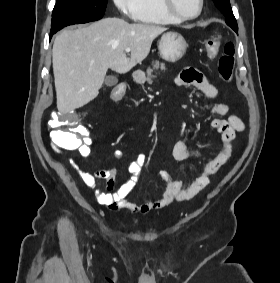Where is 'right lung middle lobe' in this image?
I'll list each match as a JSON object with an SVG mask.
<instances>
[{
	"label": "right lung middle lobe",
	"instance_id": "obj_1",
	"mask_svg": "<svg viewBox=\"0 0 280 283\" xmlns=\"http://www.w3.org/2000/svg\"><path fill=\"white\" fill-rule=\"evenodd\" d=\"M106 5L107 0H57L52 13L51 32L68 25L99 20Z\"/></svg>",
	"mask_w": 280,
	"mask_h": 283
}]
</instances>
